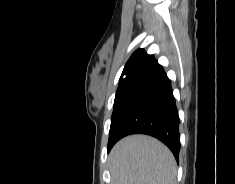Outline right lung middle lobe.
I'll list each match as a JSON object with an SVG mask.
<instances>
[{"label": "right lung middle lobe", "mask_w": 235, "mask_h": 184, "mask_svg": "<svg viewBox=\"0 0 235 184\" xmlns=\"http://www.w3.org/2000/svg\"><path fill=\"white\" fill-rule=\"evenodd\" d=\"M123 94H124V91H123V90L116 92V96H115V100H114L113 114L115 113V111H116V109H117V107H118V104H119V102H120L121 99H122ZM113 114H112V115H113ZM111 142H112V140L109 138V141H108V151H109V148H110V146H111Z\"/></svg>", "instance_id": "dd1d6c3e"}]
</instances>
